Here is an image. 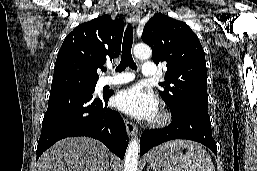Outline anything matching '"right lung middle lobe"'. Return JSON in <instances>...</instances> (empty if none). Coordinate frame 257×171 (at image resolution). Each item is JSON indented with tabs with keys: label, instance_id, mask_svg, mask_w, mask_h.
I'll list each match as a JSON object with an SVG mask.
<instances>
[{
	"label": "right lung middle lobe",
	"instance_id": "right-lung-middle-lobe-1",
	"mask_svg": "<svg viewBox=\"0 0 257 171\" xmlns=\"http://www.w3.org/2000/svg\"><path fill=\"white\" fill-rule=\"evenodd\" d=\"M96 82L94 83H84V84H70L67 86H52L51 93H56L66 90H86L93 92L95 90Z\"/></svg>",
	"mask_w": 257,
	"mask_h": 171
}]
</instances>
